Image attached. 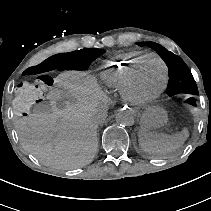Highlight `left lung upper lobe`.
<instances>
[{
  "instance_id": "obj_1",
  "label": "left lung upper lobe",
  "mask_w": 211,
  "mask_h": 211,
  "mask_svg": "<svg viewBox=\"0 0 211 211\" xmlns=\"http://www.w3.org/2000/svg\"><path fill=\"white\" fill-rule=\"evenodd\" d=\"M154 49L168 66L169 82L166 93L173 96L179 93L198 95L196 82L184 61L155 42H140ZM188 103L196 105L194 98H189Z\"/></svg>"
}]
</instances>
